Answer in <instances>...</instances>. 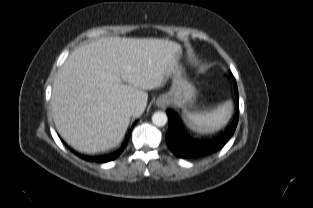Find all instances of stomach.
<instances>
[{
    "instance_id": "obj_1",
    "label": "stomach",
    "mask_w": 313,
    "mask_h": 208,
    "mask_svg": "<svg viewBox=\"0 0 313 208\" xmlns=\"http://www.w3.org/2000/svg\"><path fill=\"white\" fill-rule=\"evenodd\" d=\"M172 78V87L170 91L165 94L168 102L179 107H185L192 103L196 96V89L184 77L183 71L179 65L174 68Z\"/></svg>"
}]
</instances>
